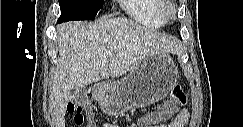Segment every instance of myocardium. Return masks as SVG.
<instances>
[{
	"mask_svg": "<svg viewBox=\"0 0 243 127\" xmlns=\"http://www.w3.org/2000/svg\"><path fill=\"white\" fill-rule=\"evenodd\" d=\"M162 16L165 21L174 22L178 17V8L172 1H165L162 10Z\"/></svg>",
	"mask_w": 243,
	"mask_h": 127,
	"instance_id": "1",
	"label": "myocardium"
}]
</instances>
